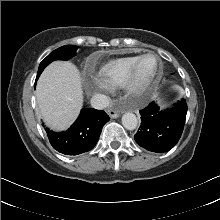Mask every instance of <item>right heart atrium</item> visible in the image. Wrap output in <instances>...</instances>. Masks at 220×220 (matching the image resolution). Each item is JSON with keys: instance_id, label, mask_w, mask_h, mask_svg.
I'll list each match as a JSON object with an SVG mask.
<instances>
[{"instance_id": "obj_1", "label": "right heart atrium", "mask_w": 220, "mask_h": 220, "mask_svg": "<svg viewBox=\"0 0 220 220\" xmlns=\"http://www.w3.org/2000/svg\"><path fill=\"white\" fill-rule=\"evenodd\" d=\"M87 87L94 95H105L111 90V86L99 78L90 80Z\"/></svg>"}]
</instances>
